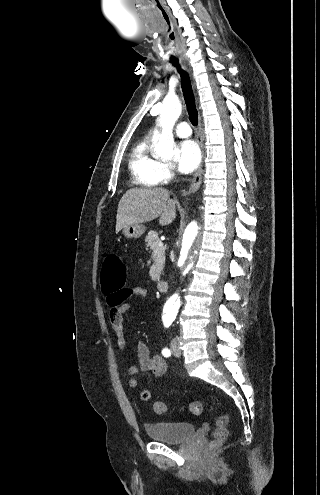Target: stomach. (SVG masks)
<instances>
[{"label":"stomach","mask_w":320,"mask_h":495,"mask_svg":"<svg viewBox=\"0 0 320 495\" xmlns=\"http://www.w3.org/2000/svg\"><path fill=\"white\" fill-rule=\"evenodd\" d=\"M146 228L142 224H131L123 228V234L127 238H139L143 235Z\"/></svg>","instance_id":"0dacf381"}]
</instances>
